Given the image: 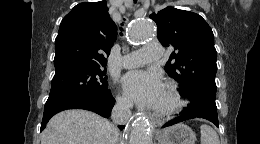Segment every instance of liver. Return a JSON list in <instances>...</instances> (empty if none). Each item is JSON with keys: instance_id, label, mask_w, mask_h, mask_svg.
I'll return each mask as SVG.
<instances>
[{"instance_id": "1", "label": "liver", "mask_w": 260, "mask_h": 144, "mask_svg": "<svg viewBox=\"0 0 260 144\" xmlns=\"http://www.w3.org/2000/svg\"><path fill=\"white\" fill-rule=\"evenodd\" d=\"M118 132L99 115L80 109L62 111L51 118L41 144H116Z\"/></svg>"}]
</instances>
